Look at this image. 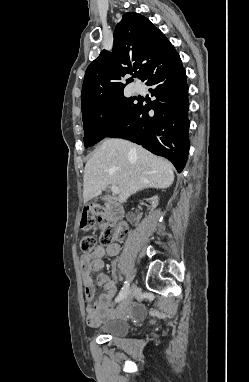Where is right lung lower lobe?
<instances>
[{"instance_id": "right-lung-lower-lobe-1", "label": "right lung lower lobe", "mask_w": 249, "mask_h": 382, "mask_svg": "<svg viewBox=\"0 0 249 382\" xmlns=\"http://www.w3.org/2000/svg\"><path fill=\"white\" fill-rule=\"evenodd\" d=\"M146 85L154 101L140 98L132 118L108 137L123 138L142 145L152 153L168 158L182 172L189 150L188 86L178 53L154 68ZM150 110L154 114L149 113Z\"/></svg>"}]
</instances>
